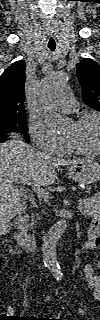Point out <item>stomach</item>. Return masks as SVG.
Returning a JSON list of instances; mask_svg holds the SVG:
<instances>
[{"label":"stomach","instance_id":"1","mask_svg":"<svg viewBox=\"0 0 100 320\" xmlns=\"http://www.w3.org/2000/svg\"><path fill=\"white\" fill-rule=\"evenodd\" d=\"M68 176L78 183H94L100 179V164L92 158L79 159L68 167Z\"/></svg>","mask_w":100,"mask_h":320}]
</instances>
